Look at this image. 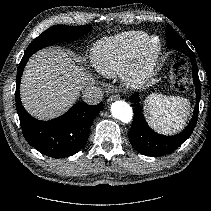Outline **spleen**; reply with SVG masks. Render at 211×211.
<instances>
[{
	"instance_id": "obj_1",
	"label": "spleen",
	"mask_w": 211,
	"mask_h": 211,
	"mask_svg": "<svg viewBox=\"0 0 211 211\" xmlns=\"http://www.w3.org/2000/svg\"><path fill=\"white\" fill-rule=\"evenodd\" d=\"M189 108V100L179 96L153 93L144 101V111L149 125L163 134H173L183 129Z\"/></svg>"
}]
</instances>
